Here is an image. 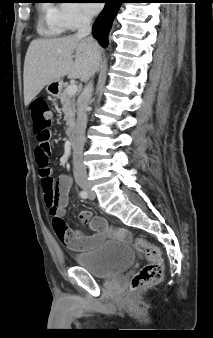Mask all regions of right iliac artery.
<instances>
[{"label":"right iliac artery","instance_id":"right-iliac-artery-1","mask_svg":"<svg viewBox=\"0 0 213 338\" xmlns=\"http://www.w3.org/2000/svg\"><path fill=\"white\" fill-rule=\"evenodd\" d=\"M79 195L83 199H86L88 197V193L85 190L80 191Z\"/></svg>","mask_w":213,"mask_h":338}]
</instances>
